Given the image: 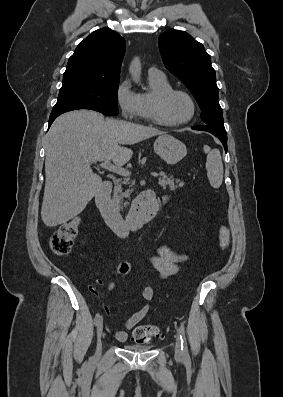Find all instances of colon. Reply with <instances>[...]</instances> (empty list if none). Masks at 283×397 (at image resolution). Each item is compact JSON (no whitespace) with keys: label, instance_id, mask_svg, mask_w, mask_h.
Masks as SVG:
<instances>
[{"label":"colon","instance_id":"5ec220e1","mask_svg":"<svg viewBox=\"0 0 283 397\" xmlns=\"http://www.w3.org/2000/svg\"><path fill=\"white\" fill-rule=\"evenodd\" d=\"M79 232L77 217L63 223L50 239V248L56 255H66L71 251L74 240ZM230 238L229 227L223 224L219 228V243L222 250L228 247ZM159 330L152 325H140L133 331V341L137 344H147L153 338H160Z\"/></svg>","mask_w":283,"mask_h":397}]
</instances>
